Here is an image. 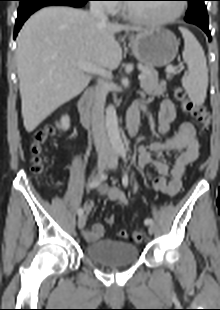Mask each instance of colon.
<instances>
[{
  "mask_svg": "<svg viewBox=\"0 0 220 310\" xmlns=\"http://www.w3.org/2000/svg\"><path fill=\"white\" fill-rule=\"evenodd\" d=\"M174 96L180 102L183 111L191 115L200 124L202 131H207L210 126V113L207 108L189 99L185 89L182 87L175 89ZM56 130L54 126H47L35 133L34 142L31 146L32 171L34 173L39 174L44 170L47 158L43 155L42 145L56 133ZM106 222L113 224L115 222V216H108ZM118 235L123 239L130 237L136 243H140L144 239V234L139 231L130 233L127 230H120Z\"/></svg>",
  "mask_w": 220,
  "mask_h": 310,
  "instance_id": "1",
  "label": "colon"
}]
</instances>
